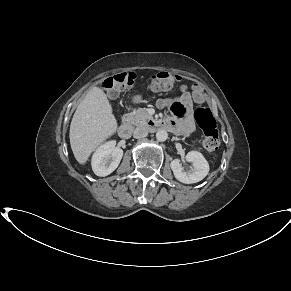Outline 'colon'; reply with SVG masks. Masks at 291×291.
<instances>
[{
  "mask_svg": "<svg viewBox=\"0 0 291 291\" xmlns=\"http://www.w3.org/2000/svg\"><path fill=\"white\" fill-rule=\"evenodd\" d=\"M181 77L178 74L160 71L151 76V88L154 91H166L171 89ZM136 76L134 73H118L106 79L102 87L106 90L108 95L112 98L118 96L120 90L131 89L135 84ZM195 96L198 100L202 99V93L196 89ZM175 109L178 113L183 110L176 105ZM195 120L204 134L202 145L208 151H215L219 146V132L216 120L212 112L203 107L197 108L195 111Z\"/></svg>",
  "mask_w": 291,
  "mask_h": 291,
  "instance_id": "5ec220e1",
  "label": "colon"
}]
</instances>
